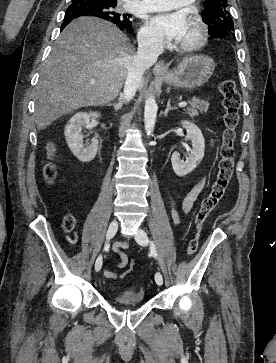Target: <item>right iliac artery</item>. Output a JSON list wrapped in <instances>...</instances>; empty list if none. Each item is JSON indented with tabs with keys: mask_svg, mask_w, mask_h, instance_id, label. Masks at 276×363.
I'll use <instances>...</instances> for the list:
<instances>
[{
	"mask_svg": "<svg viewBox=\"0 0 276 363\" xmlns=\"http://www.w3.org/2000/svg\"><path fill=\"white\" fill-rule=\"evenodd\" d=\"M105 248H109V244H106ZM102 267V262L100 264H98L97 266H95L96 271H99Z\"/></svg>",
	"mask_w": 276,
	"mask_h": 363,
	"instance_id": "82829eb1",
	"label": "right iliac artery"
}]
</instances>
